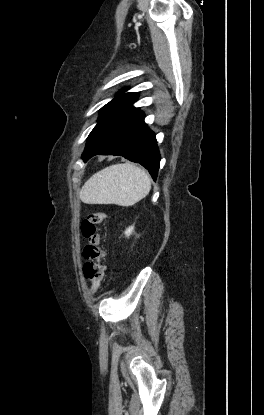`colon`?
I'll use <instances>...</instances> for the list:
<instances>
[{
    "mask_svg": "<svg viewBox=\"0 0 264 415\" xmlns=\"http://www.w3.org/2000/svg\"><path fill=\"white\" fill-rule=\"evenodd\" d=\"M106 217L107 213L105 211L97 210L90 212L81 221V234L88 241L83 250L84 273L86 279L90 282L91 292L99 290L105 277L104 259L106 252L102 246L98 229Z\"/></svg>",
    "mask_w": 264,
    "mask_h": 415,
    "instance_id": "obj_1",
    "label": "colon"
}]
</instances>
